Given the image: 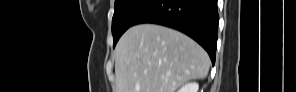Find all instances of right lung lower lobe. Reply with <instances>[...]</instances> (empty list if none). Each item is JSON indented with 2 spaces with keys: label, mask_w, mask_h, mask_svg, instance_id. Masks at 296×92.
Segmentation results:
<instances>
[{
  "label": "right lung lower lobe",
  "mask_w": 296,
  "mask_h": 92,
  "mask_svg": "<svg viewBox=\"0 0 296 92\" xmlns=\"http://www.w3.org/2000/svg\"><path fill=\"white\" fill-rule=\"evenodd\" d=\"M141 23L159 24L187 34L208 52L212 64L215 63L219 23L217 0H155L133 25Z\"/></svg>",
  "instance_id": "right-lung-lower-lobe-1"
}]
</instances>
